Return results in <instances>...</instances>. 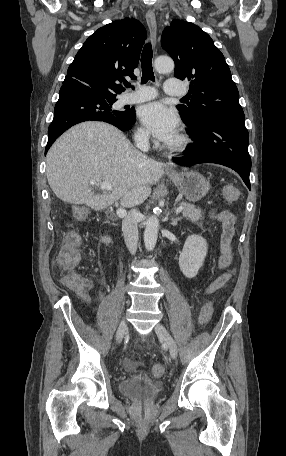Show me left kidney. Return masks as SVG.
<instances>
[{"label": "left kidney", "instance_id": "1", "mask_svg": "<svg viewBox=\"0 0 286 456\" xmlns=\"http://www.w3.org/2000/svg\"><path fill=\"white\" fill-rule=\"evenodd\" d=\"M207 255V242L199 235L189 236L179 256V266L185 277H196Z\"/></svg>", "mask_w": 286, "mask_h": 456}]
</instances>
